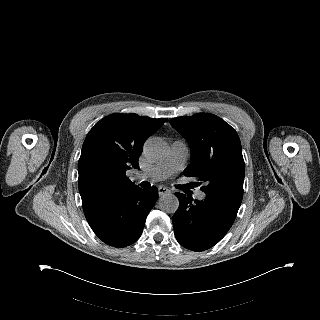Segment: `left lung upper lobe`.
Masks as SVG:
<instances>
[{
  "instance_id": "left-lung-upper-lobe-1",
  "label": "left lung upper lobe",
  "mask_w": 320,
  "mask_h": 320,
  "mask_svg": "<svg viewBox=\"0 0 320 320\" xmlns=\"http://www.w3.org/2000/svg\"><path fill=\"white\" fill-rule=\"evenodd\" d=\"M170 124L191 149V161L184 175L199 178L206 195L240 207L245 170L237 132L224 120L208 113L173 118Z\"/></svg>"
}]
</instances>
